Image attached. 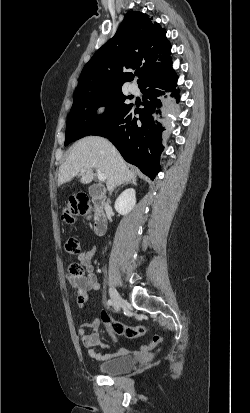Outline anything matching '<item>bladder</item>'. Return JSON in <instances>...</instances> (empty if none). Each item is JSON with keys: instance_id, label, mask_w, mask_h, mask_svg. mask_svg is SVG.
I'll use <instances>...</instances> for the list:
<instances>
[{"instance_id": "1", "label": "bladder", "mask_w": 250, "mask_h": 413, "mask_svg": "<svg viewBox=\"0 0 250 413\" xmlns=\"http://www.w3.org/2000/svg\"><path fill=\"white\" fill-rule=\"evenodd\" d=\"M135 363L136 360L133 356L122 355L100 363L97 369L102 374L117 375L130 371Z\"/></svg>"}]
</instances>
